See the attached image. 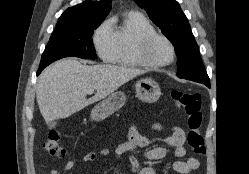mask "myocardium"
I'll return each instance as SVG.
<instances>
[{
	"label": "myocardium",
	"instance_id": "myocardium-1",
	"mask_svg": "<svg viewBox=\"0 0 249 174\" xmlns=\"http://www.w3.org/2000/svg\"><path fill=\"white\" fill-rule=\"evenodd\" d=\"M157 41H164L169 46L170 51H171V55L169 59L159 60L153 57V55L151 54L152 46ZM136 52L139 58L144 63H146L147 65L153 68H161V67L168 66L174 61L176 57V49H175L173 42L167 36L157 33V32L144 35L140 39L137 45Z\"/></svg>",
	"mask_w": 249,
	"mask_h": 174
}]
</instances>
